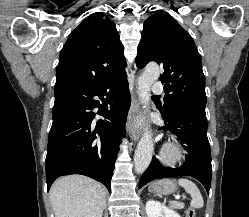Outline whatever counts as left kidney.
I'll return each mask as SVG.
<instances>
[{
    "label": "left kidney",
    "mask_w": 249,
    "mask_h": 217,
    "mask_svg": "<svg viewBox=\"0 0 249 217\" xmlns=\"http://www.w3.org/2000/svg\"><path fill=\"white\" fill-rule=\"evenodd\" d=\"M146 213L148 217H181L175 211L154 200L146 202Z\"/></svg>",
    "instance_id": "1"
}]
</instances>
